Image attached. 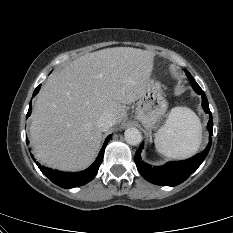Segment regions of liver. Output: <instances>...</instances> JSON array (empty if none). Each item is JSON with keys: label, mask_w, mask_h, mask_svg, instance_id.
<instances>
[{"label": "liver", "mask_w": 233, "mask_h": 233, "mask_svg": "<svg viewBox=\"0 0 233 233\" xmlns=\"http://www.w3.org/2000/svg\"><path fill=\"white\" fill-rule=\"evenodd\" d=\"M155 54L114 47L83 55L54 72L35 101L30 143L43 165L79 171L95 160L102 141L99 117L111 113L115 124L125 105L139 100L153 70Z\"/></svg>", "instance_id": "6515ba94"}]
</instances>
